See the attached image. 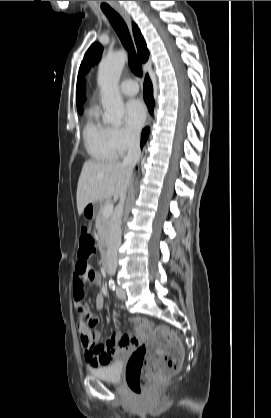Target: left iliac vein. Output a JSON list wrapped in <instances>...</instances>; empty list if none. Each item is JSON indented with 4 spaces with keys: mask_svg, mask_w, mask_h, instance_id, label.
Returning a JSON list of instances; mask_svg holds the SVG:
<instances>
[{
    "mask_svg": "<svg viewBox=\"0 0 271 418\" xmlns=\"http://www.w3.org/2000/svg\"><path fill=\"white\" fill-rule=\"evenodd\" d=\"M116 294H117L118 298H120V299H125L126 298V293L121 287H117Z\"/></svg>",
    "mask_w": 271,
    "mask_h": 418,
    "instance_id": "4c4485c4",
    "label": "left iliac vein"
}]
</instances>
